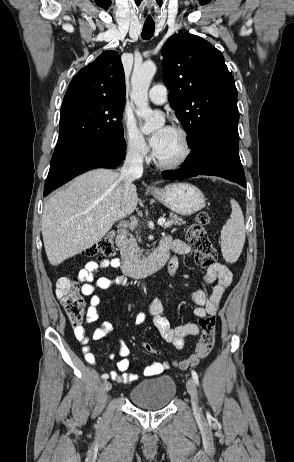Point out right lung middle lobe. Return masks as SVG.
<instances>
[{"instance_id": "1", "label": "right lung middle lobe", "mask_w": 294, "mask_h": 462, "mask_svg": "<svg viewBox=\"0 0 294 462\" xmlns=\"http://www.w3.org/2000/svg\"><path fill=\"white\" fill-rule=\"evenodd\" d=\"M124 104L125 99L81 98L63 102L57 145L79 139L123 137Z\"/></svg>"}]
</instances>
